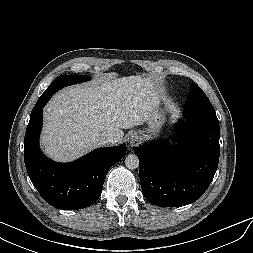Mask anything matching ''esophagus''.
Listing matches in <instances>:
<instances>
[{"label":"esophagus","instance_id":"34e87169","mask_svg":"<svg viewBox=\"0 0 253 253\" xmlns=\"http://www.w3.org/2000/svg\"><path fill=\"white\" fill-rule=\"evenodd\" d=\"M141 140V136L137 132H134L130 135L128 142L132 147H135L141 144Z\"/></svg>","mask_w":253,"mask_h":253}]
</instances>
